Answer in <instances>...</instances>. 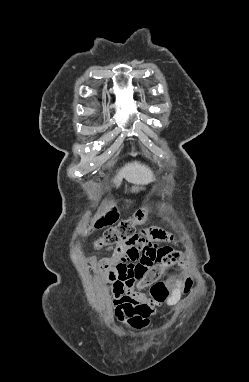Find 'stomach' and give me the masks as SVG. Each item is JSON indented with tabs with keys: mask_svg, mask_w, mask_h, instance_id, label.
<instances>
[{
	"mask_svg": "<svg viewBox=\"0 0 249 382\" xmlns=\"http://www.w3.org/2000/svg\"><path fill=\"white\" fill-rule=\"evenodd\" d=\"M139 189L137 187L132 188V191H138Z\"/></svg>",
	"mask_w": 249,
	"mask_h": 382,
	"instance_id": "stomach-1",
	"label": "stomach"
}]
</instances>
